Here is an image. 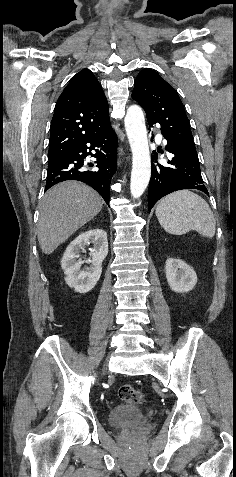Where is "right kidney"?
<instances>
[{"label":"right kidney","mask_w":236,"mask_h":477,"mask_svg":"<svg viewBox=\"0 0 236 477\" xmlns=\"http://www.w3.org/2000/svg\"><path fill=\"white\" fill-rule=\"evenodd\" d=\"M91 248L92 259L87 260L89 267L81 269L84 261H77L86 245ZM108 254L107 234L102 229H94L80 234L66 248L61 260V267L65 273V282L76 292L86 293L92 290L102 273V262Z\"/></svg>","instance_id":"1"}]
</instances>
